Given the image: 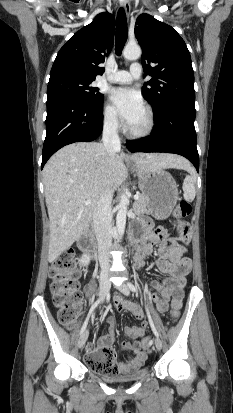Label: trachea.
<instances>
[{
  "label": "trachea",
  "instance_id": "obj_1",
  "mask_svg": "<svg viewBox=\"0 0 233 413\" xmlns=\"http://www.w3.org/2000/svg\"><path fill=\"white\" fill-rule=\"evenodd\" d=\"M128 31H127V21L126 14L123 8H120L117 13V24H116V41H115V52L116 55L122 53L123 47L127 41Z\"/></svg>",
  "mask_w": 233,
  "mask_h": 413
}]
</instances>
